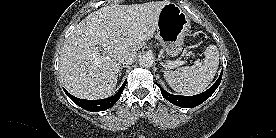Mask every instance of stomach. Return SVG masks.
Here are the masks:
<instances>
[{
    "instance_id": "stomach-1",
    "label": "stomach",
    "mask_w": 276,
    "mask_h": 138,
    "mask_svg": "<svg viewBox=\"0 0 276 138\" xmlns=\"http://www.w3.org/2000/svg\"><path fill=\"white\" fill-rule=\"evenodd\" d=\"M189 28V17L178 5L168 2L162 7L158 17L157 36L167 56L176 57L180 54Z\"/></svg>"
}]
</instances>
